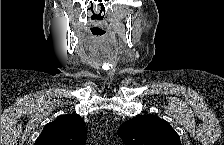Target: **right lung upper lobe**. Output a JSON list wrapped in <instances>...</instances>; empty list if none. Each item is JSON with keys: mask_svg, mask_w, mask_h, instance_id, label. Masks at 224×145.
Returning <instances> with one entry per match:
<instances>
[{"mask_svg": "<svg viewBox=\"0 0 224 145\" xmlns=\"http://www.w3.org/2000/svg\"><path fill=\"white\" fill-rule=\"evenodd\" d=\"M85 142L84 121L76 115H62L45 125L35 145H83Z\"/></svg>", "mask_w": 224, "mask_h": 145, "instance_id": "1", "label": "right lung upper lobe"}]
</instances>
